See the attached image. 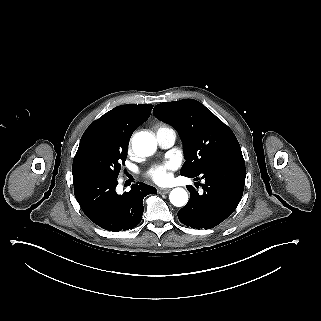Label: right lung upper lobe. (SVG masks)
<instances>
[{
    "instance_id": "cb5924a9",
    "label": "right lung upper lobe",
    "mask_w": 321,
    "mask_h": 321,
    "mask_svg": "<svg viewBox=\"0 0 321 321\" xmlns=\"http://www.w3.org/2000/svg\"><path fill=\"white\" fill-rule=\"evenodd\" d=\"M151 104L121 105L108 111L92 124H104L116 136H131L133 131L151 114Z\"/></svg>"
}]
</instances>
